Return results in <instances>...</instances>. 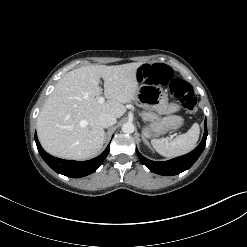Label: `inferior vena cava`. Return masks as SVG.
Segmentation results:
<instances>
[{"label": "inferior vena cava", "mask_w": 247, "mask_h": 247, "mask_svg": "<svg viewBox=\"0 0 247 247\" xmlns=\"http://www.w3.org/2000/svg\"><path fill=\"white\" fill-rule=\"evenodd\" d=\"M116 121V117L108 113L101 114L98 118V122L103 128H108L116 124Z\"/></svg>", "instance_id": "1"}]
</instances>
